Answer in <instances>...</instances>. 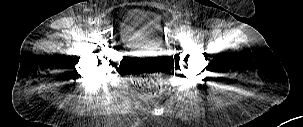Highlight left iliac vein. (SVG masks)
<instances>
[{"label":"left iliac vein","mask_w":303,"mask_h":127,"mask_svg":"<svg viewBox=\"0 0 303 127\" xmlns=\"http://www.w3.org/2000/svg\"><path fill=\"white\" fill-rule=\"evenodd\" d=\"M181 31L184 32V33H190L192 30H191V28L189 26L183 25L181 27Z\"/></svg>","instance_id":"1"}]
</instances>
